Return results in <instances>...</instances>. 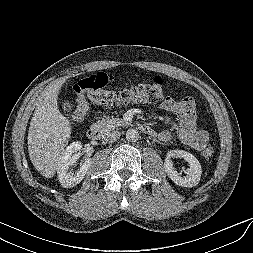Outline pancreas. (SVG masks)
Wrapping results in <instances>:
<instances>
[{
  "instance_id": "pancreas-1",
  "label": "pancreas",
  "mask_w": 253,
  "mask_h": 253,
  "mask_svg": "<svg viewBox=\"0 0 253 253\" xmlns=\"http://www.w3.org/2000/svg\"><path fill=\"white\" fill-rule=\"evenodd\" d=\"M128 122L119 118H105L96 123L97 127L102 133H106L110 130H113L119 126H125Z\"/></svg>"
}]
</instances>
